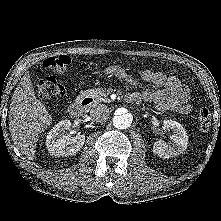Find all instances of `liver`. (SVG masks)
Listing matches in <instances>:
<instances>
[{"label":"liver","instance_id":"liver-1","mask_svg":"<svg viewBox=\"0 0 221 221\" xmlns=\"http://www.w3.org/2000/svg\"><path fill=\"white\" fill-rule=\"evenodd\" d=\"M52 123L45 106L36 98L29 74L18 83L9 111V130L22 155L33 160L40 134Z\"/></svg>","mask_w":221,"mask_h":221}]
</instances>
